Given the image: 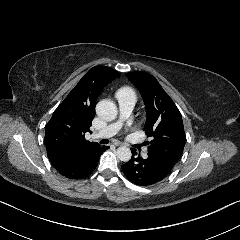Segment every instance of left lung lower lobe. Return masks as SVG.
<instances>
[{"label":"left lung lower lobe","mask_w":240,"mask_h":240,"mask_svg":"<svg viewBox=\"0 0 240 240\" xmlns=\"http://www.w3.org/2000/svg\"><path fill=\"white\" fill-rule=\"evenodd\" d=\"M132 158L122 165L127 179L139 186H149L163 180L172 170L174 164L168 163L161 156L148 152L146 159L137 156L131 149Z\"/></svg>","instance_id":"left-lung-lower-lobe-1"}]
</instances>
